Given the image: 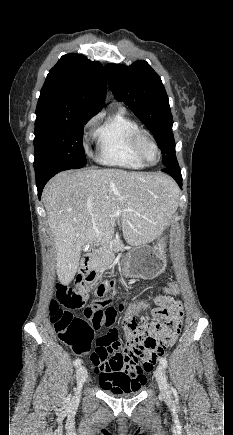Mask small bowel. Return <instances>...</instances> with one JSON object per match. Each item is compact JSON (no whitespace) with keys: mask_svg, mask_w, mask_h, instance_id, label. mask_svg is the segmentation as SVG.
I'll use <instances>...</instances> for the list:
<instances>
[{"mask_svg":"<svg viewBox=\"0 0 233 435\" xmlns=\"http://www.w3.org/2000/svg\"><path fill=\"white\" fill-rule=\"evenodd\" d=\"M103 285V284H101ZM171 288L174 291H178V284L171 285ZM77 289V288H76ZM116 289L115 281L111 280L108 284L103 285V292L101 295L108 294L113 292ZM78 290V289H77ZM81 295L85 298L87 297V291H82ZM151 301L157 305V310L155 312V316L158 318H164L167 321V325L164 327L166 329H170L175 337L181 328V323L183 320V306L182 303L176 299H174L170 295H161V294H153L150 296ZM130 308L141 309L143 307L142 304H130L128 305ZM117 320V319H116ZM116 320L107 326V330L104 331L101 336L105 340L111 341L112 344H115L119 334L115 328ZM147 323L152 326H159L162 328V325L154 319L147 320ZM123 355L120 353H114L111 358L107 362L94 364L95 372L98 374L99 382L101 387L104 389H115V380L114 377L119 374H125L128 376L129 382L131 385L140 384L145 380V375L148 373L147 370L143 366H133L131 368H126L123 365Z\"/></svg>","mask_w":233,"mask_h":435,"instance_id":"c3829d8e","label":"small bowel"}]
</instances>
